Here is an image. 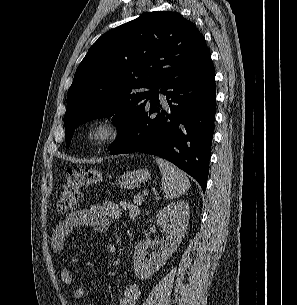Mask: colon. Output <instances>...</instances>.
Listing matches in <instances>:
<instances>
[{
  "mask_svg": "<svg viewBox=\"0 0 297 305\" xmlns=\"http://www.w3.org/2000/svg\"><path fill=\"white\" fill-rule=\"evenodd\" d=\"M100 180V172L95 169L77 168L69 170L61 186L57 203L59 213L76 210L81 202V189Z\"/></svg>",
  "mask_w": 297,
  "mask_h": 305,
  "instance_id": "colon-1",
  "label": "colon"
}]
</instances>
